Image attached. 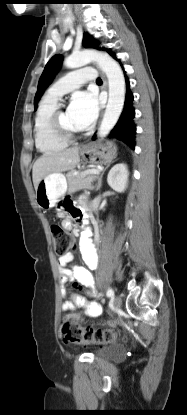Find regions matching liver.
Instances as JSON below:
<instances>
[{"label":"liver","mask_w":187,"mask_h":415,"mask_svg":"<svg viewBox=\"0 0 187 415\" xmlns=\"http://www.w3.org/2000/svg\"><path fill=\"white\" fill-rule=\"evenodd\" d=\"M79 148L73 147L63 151L43 154L39 157L32 170V179L35 190L39 182L51 173H61L72 170L79 163Z\"/></svg>","instance_id":"obj_1"}]
</instances>
